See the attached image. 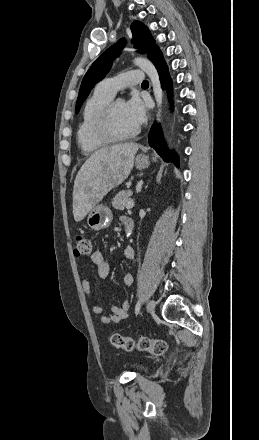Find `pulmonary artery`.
<instances>
[{"label": "pulmonary artery", "instance_id": "e3ab8cb5", "mask_svg": "<svg viewBox=\"0 0 259 440\" xmlns=\"http://www.w3.org/2000/svg\"><path fill=\"white\" fill-rule=\"evenodd\" d=\"M143 80L144 74L141 70H129L117 76L102 80L96 89L114 97L118 90L130 85L140 84Z\"/></svg>", "mask_w": 259, "mask_h": 440}]
</instances>
